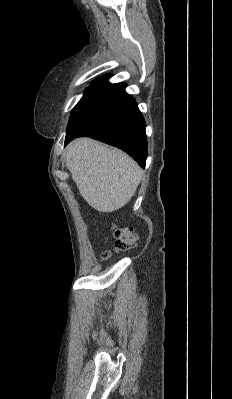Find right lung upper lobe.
Here are the masks:
<instances>
[{
	"label": "right lung upper lobe",
	"mask_w": 232,
	"mask_h": 399,
	"mask_svg": "<svg viewBox=\"0 0 232 399\" xmlns=\"http://www.w3.org/2000/svg\"><path fill=\"white\" fill-rule=\"evenodd\" d=\"M108 77H109V75L100 77V78H98L97 80H95V82H97V84H99V83H101V82H104V80H105L106 78H108Z\"/></svg>",
	"instance_id": "1"
}]
</instances>
